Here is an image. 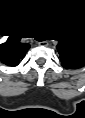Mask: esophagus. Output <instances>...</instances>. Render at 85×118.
<instances>
[{
	"label": "esophagus",
	"instance_id": "esophagus-1",
	"mask_svg": "<svg viewBox=\"0 0 85 118\" xmlns=\"http://www.w3.org/2000/svg\"><path fill=\"white\" fill-rule=\"evenodd\" d=\"M39 44L45 46V45H47L48 43H47L46 41H44V42H40Z\"/></svg>",
	"mask_w": 85,
	"mask_h": 118
}]
</instances>
